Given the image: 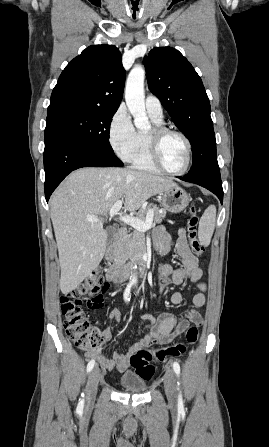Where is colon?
Instances as JSON below:
<instances>
[{"instance_id": "1", "label": "colon", "mask_w": 269, "mask_h": 447, "mask_svg": "<svg viewBox=\"0 0 269 447\" xmlns=\"http://www.w3.org/2000/svg\"><path fill=\"white\" fill-rule=\"evenodd\" d=\"M189 212L187 222L189 244L192 252L200 256L204 254V247L197 239L198 209L195 205H191ZM104 283L105 278L94 272L60 298L61 312L64 316L63 326L70 340L80 350H98L103 343L102 333L91 324L82 306L86 303L92 312L101 307L100 295L104 291ZM197 337L198 327L191 325L185 331V342L155 349H138L131 355L130 364L137 376L150 380L156 373L152 361L183 356L187 351V344L195 343Z\"/></svg>"}]
</instances>
